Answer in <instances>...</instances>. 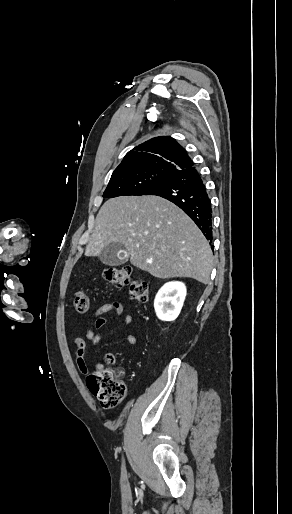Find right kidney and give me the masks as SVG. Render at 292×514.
I'll use <instances>...</instances> for the list:
<instances>
[{"label":"right kidney","mask_w":292,"mask_h":514,"mask_svg":"<svg viewBox=\"0 0 292 514\" xmlns=\"http://www.w3.org/2000/svg\"><path fill=\"white\" fill-rule=\"evenodd\" d=\"M186 296L182 282H167L156 294L154 308L159 320L173 322L180 314Z\"/></svg>","instance_id":"right-kidney-1"}]
</instances>
